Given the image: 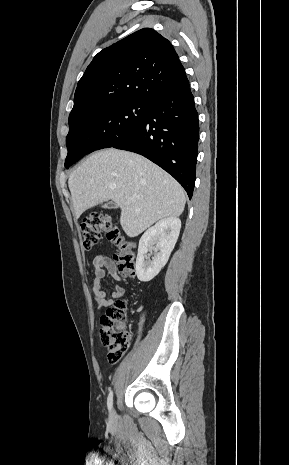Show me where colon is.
<instances>
[{
	"instance_id": "obj_1",
	"label": "colon",
	"mask_w": 289,
	"mask_h": 465,
	"mask_svg": "<svg viewBox=\"0 0 289 465\" xmlns=\"http://www.w3.org/2000/svg\"><path fill=\"white\" fill-rule=\"evenodd\" d=\"M116 246L115 260L123 277H133L136 269V245L127 238L109 215L92 213L81 223V240L86 249L94 248L101 235ZM127 307L124 301L117 300L100 318L99 335L108 349V359L115 363L120 360L130 343L126 329Z\"/></svg>"
}]
</instances>
